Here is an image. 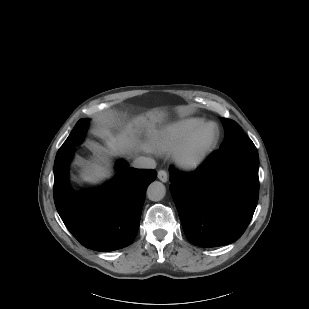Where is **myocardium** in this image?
<instances>
[{
	"instance_id": "1",
	"label": "myocardium",
	"mask_w": 309,
	"mask_h": 309,
	"mask_svg": "<svg viewBox=\"0 0 309 309\" xmlns=\"http://www.w3.org/2000/svg\"><path fill=\"white\" fill-rule=\"evenodd\" d=\"M208 128L214 129V134L198 150L193 152L192 147L200 134ZM220 139V128L212 121L204 122L194 128L174 151L176 164L185 170H194L200 167L209 158Z\"/></svg>"
}]
</instances>
